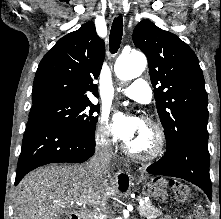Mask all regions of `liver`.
Returning a JSON list of instances; mask_svg holds the SVG:
<instances>
[{"label":"liver","mask_w":221,"mask_h":219,"mask_svg":"<svg viewBox=\"0 0 221 219\" xmlns=\"http://www.w3.org/2000/svg\"><path fill=\"white\" fill-rule=\"evenodd\" d=\"M114 189L105 177H97L89 163L51 165L25 176L16 188L14 219H61L69 204L85 200L101 210Z\"/></svg>","instance_id":"liver-1"}]
</instances>
